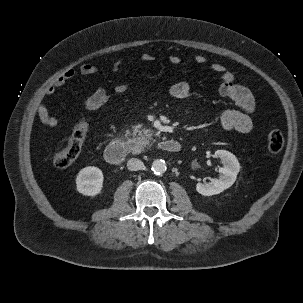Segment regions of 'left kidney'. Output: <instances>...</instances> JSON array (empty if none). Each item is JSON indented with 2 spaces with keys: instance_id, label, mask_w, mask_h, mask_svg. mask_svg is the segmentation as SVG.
<instances>
[{
  "instance_id": "1",
  "label": "left kidney",
  "mask_w": 303,
  "mask_h": 303,
  "mask_svg": "<svg viewBox=\"0 0 303 303\" xmlns=\"http://www.w3.org/2000/svg\"><path fill=\"white\" fill-rule=\"evenodd\" d=\"M215 156L220 158L223 167L219 168L220 176L209 183H197L196 190L204 196L220 194L232 186L240 171V164L234 154L226 150L215 151Z\"/></svg>"
}]
</instances>
